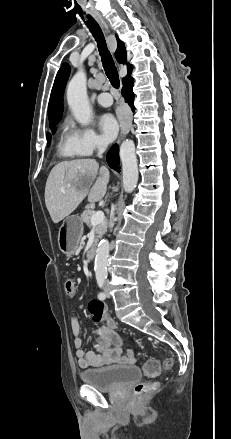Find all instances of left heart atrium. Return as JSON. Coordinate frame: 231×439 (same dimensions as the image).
Listing matches in <instances>:
<instances>
[{"mask_svg":"<svg viewBox=\"0 0 231 439\" xmlns=\"http://www.w3.org/2000/svg\"><path fill=\"white\" fill-rule=\"evenodd\" d=\"M99 128L104 139L111 142L118 133L119 125L115 117L112 114L107 113L100 117Z\"/></svg>","mask_w":231,"mask_h":439,"instance_id":"obj_1","label":"left heart atrium"}]
</instances>
